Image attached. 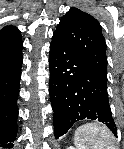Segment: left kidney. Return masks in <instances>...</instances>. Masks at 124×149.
Instances as JSON below:
<instances>
[{
	"label": "left kidney",
	"mask_w": 124,
	"mask_h": 149,
	"mask_svg": "<svg viewBox=\"0 0 124 149\" xmlns=\"http://www.w3.org/2000/svg\"><path fill=\"white\" fill-rule=\"evenodd\" d=\"M67 149H75L74 147H72V146H70V147H68Z\"/></svg>",
	"instance_id": "1"
}]
</instances>
